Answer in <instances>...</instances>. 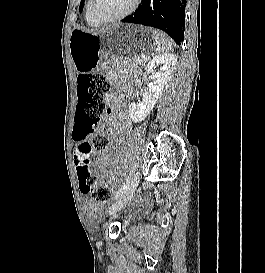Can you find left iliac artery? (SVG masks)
<instances>
[{
  "mask_svg": "<svg viewBox=\"0 0 265 273\" xmlns=\"http://www.w3.org/2000/svg\"><path fill=\"white\" fill-rule=\"evenodd\" d=\"M135 168H136V164L133 166L129 176L126 179V181L121 185V187L118 189V191L114 195V199L119 198L123 194V192L125 191V189L127 188L128 184L130 182V177L133 174V172L135 171Z\"/></svg>",
  "mask_w": 265,
  "mask_h": 273,
  "instance_id": "left-iliac-artery-1",
  "label": "left iliac artery"
}]
</instances>
